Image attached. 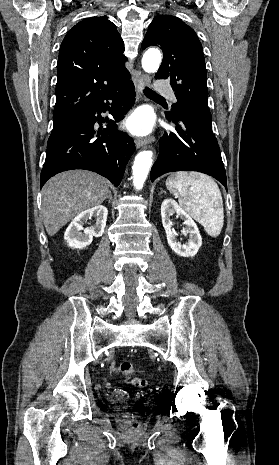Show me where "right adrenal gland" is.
Here are the masks:
<instances>
[{"instance_id": "right-adrenal-gland-1", "label": "right adrenal gland", "mask_w": 279, "mask_h": 465, "mask_svg": "<svg viewBox=\"0 0 279 465\" xmlns=\"http://www.w3.org/2000/svg\"><path fill=\"white\" fill-rule=\"evenodd\" d=\"M107 198H109V200L111 201L112 200V194H111V191L108 192V196Z\"/></svg>"}]
</instances>
